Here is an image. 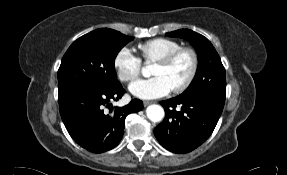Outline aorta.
Wrapping results in <instances>:
<instances>
[{
	"label": "aorta",
	"mask_w": 287,
	"mask_h": 175,
	"mask_svg": "<svg viewBox=\"0 0 287 175\" xmlns=\"http://www.w3.org/2000/svg\"><path fill=\"white\" fill-rule=\"evenodd\" d=\"M148 72L147 68L143 69V73L146 74ZM146 115L148 119L152 122H159L164 117V109L160 105H150L146 109Z\"/></svg>",
	"instance_id": "obj_1"
}]
</instances>
